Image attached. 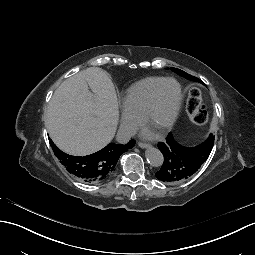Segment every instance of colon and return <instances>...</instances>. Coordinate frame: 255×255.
I'll list each match as a JSON object with an SVG mask.
<instances>
[{"mask_svg": "<svg viewBox=\"0 0 255 255\" xmlns=\"http://www.w3.org/2000/svg\"><path fill=\"white\" fill-rule=\"evenodd\" d=\"M186 112L191 121L197 125H204L208 121V113L203 105L202 92L196 86L188 90Z\"/></svg>", "mask_w": 255, "mask_h": 255, "instance_id": "obj_1", "label": "colon"}]
</instances>
